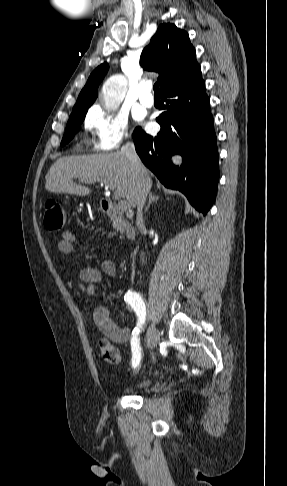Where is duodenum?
I'll return each mask as SVG.
<instances>
[{
	"label": "duodenum",
	"mask_w": 287,
	"mask_h": 486,
	"mask_svg": "<svg viewBox=\"0 0 287 486\" xmlns=\"http://www.w3.org/2000/svg\"><path fill=\"white\" fill-rule=\"evenodd\" d=\"M101 208L104 213L112 219L119 220L123 226V233L127 240L132 241L135 238V229L122 217L119 210L108 200H102Z\"/></svg>",
	"instance_id": "obj_1"
}]
</instances>
